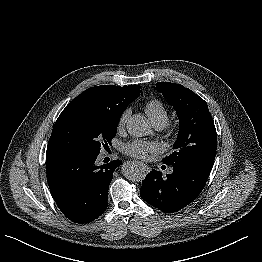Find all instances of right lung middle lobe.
Wrapping results in <instances>:
<instances>
[{"label":"right lung middle lobe","instance_id":"dd1d6c3e","mask_svg":"<svg viewBox=\"0 0 262 262\" xmlns=\"http://www.w3.org/2000/svg\"><path fill=\"white\" fill-rule=\"evenodd\" d=\"M122 113L88 98L72 100L53 127L47 154L98 155L111 144Z\"/></svg>","mask_w":262,"mask_h":262}]
</instances>
